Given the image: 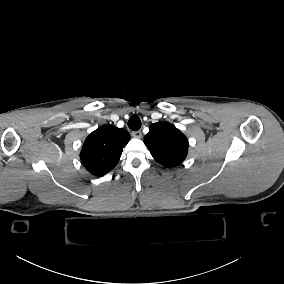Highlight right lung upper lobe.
Masks as SVG:
<instances>
[{
  "label": "right lung upper lobe",
  "instance_id": "obj_1",
  "mask_svg": "<svg viewBox=\"0 0 284 284\" xmlns=\"http://www.w3.org/2000/svg\"><path fill=\"white\" fill-rule=\"evenodd\" d=\"M129 140L130 135L125 129L101 126L85 139L80 153L84 167L92 175H105L117 165Z\"/></svg>",
  "mask_w": 284,
  "mask_h": 284
}]
</instances>
